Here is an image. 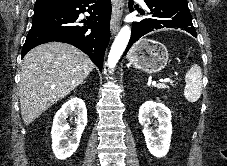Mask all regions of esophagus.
<instances>
[{"label": "esophagus", "instance_id": "obj_1", "mask_svg": "<svg viewBox=\"0 0 227 166\" xmlns=\"http://www.w3.org/2000/svg\"><path fill=\"white\" fill-rule=\"evenodd\" d=\"M124 3L125 0H113L112 16L110 21V30L112 34H115L120 28Z\"/></svg>", "mask_w": 227, "mask_h": 166}]
</instances>
